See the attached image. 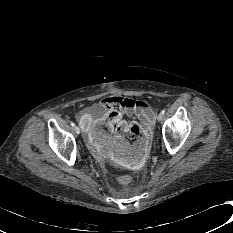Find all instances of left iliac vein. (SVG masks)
<instances>
[{
	"label": "left iliac vein",
	"mask_w": 233,
	"mask_h": 233,
	"mask_svg": "<svg viewBox=\"0 0 233 233\" xmlns=\"http://www.w3.org/2000/svg\"><path fill=\"white\" fill-rule=\"evenodd\" d=\"M163 119V115L161 114V113H159L158 115H157V120L158 121H161Z\"/></svg>",
	"instance_id": "left-iliac-vein-1"
}]
</instances>
